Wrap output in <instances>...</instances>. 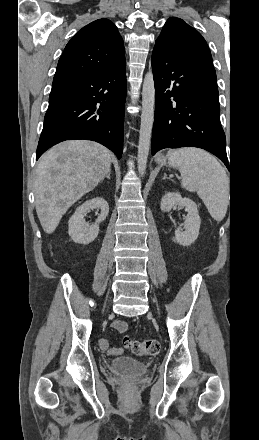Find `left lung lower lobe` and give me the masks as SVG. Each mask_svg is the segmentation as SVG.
Masks as SVG:
<instances>
[{
    "mask_svg": "<svg viewBox=\"0 0 259 440\" xmlns=\"http://www.w3.org/2000/svg\"><path fill=\"white\" fill-rule=\"evenodd\" d=\"M151 62L155 82L152 155L163 148L198 147L229 169L213 64L160 46L154 47ZM171 97L176 104L172 105Z\"/></svg>",
    "mask_w": 259,
    "mask_h": 440,
    "instance_id": "0a47b994",
    "label": "left lung lower lobe"
}]
</instances>
